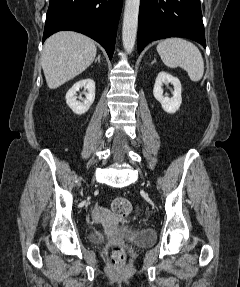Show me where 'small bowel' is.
Instances as JSON below:
<instances>
[{
	"mask_svg": "<svg viewBox=\"0 0 240 287\" xmlns=\"http://www.w3.org/2000/svg\"><path fill=\"white\" fill-rule=\"evenodd\" d=\"M93 217L97 220L111 219V212L104 207L96 206L93 210Z\"/></svg>",
	"mask_w": 240,
	"mask_h": 287,
	"instance_id": "small-bowel-1",
	"label": "small bowel"
}]
</instances>
